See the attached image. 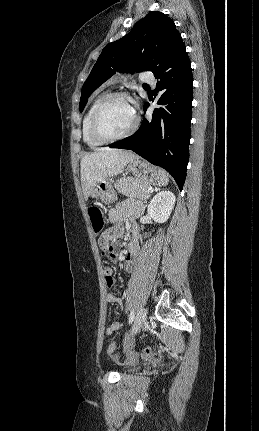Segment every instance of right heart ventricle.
Here are the masks:
<instances>
[{"instance_id":"e07e8e85","label":"right heart ventricle","mask_w":259,"mask_h":431,"mask_svg":"<svg viewBox=\"0 0 259 431\" xmlns=\"http://www.w3.org/2000/svg\"><path fill=\"white\" fill-rule=\"evenodd\" d=\"M106 95V93H102L94 98L82 120L83 140L91 148H97L103 144L102 142H99L92 137L90 132V121L95 108Z\"/></svg>"}]
</instances>
